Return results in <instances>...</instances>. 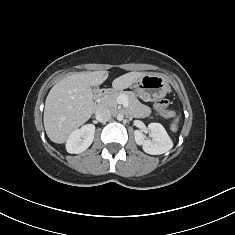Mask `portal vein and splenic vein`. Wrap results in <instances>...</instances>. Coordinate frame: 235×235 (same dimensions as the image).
Masks as SVG:
<instances>
[{
    "label": "portal vein and splenic vein",
    "mask_w": 235,
    "mask_h": 235,
    "mask_svg": "<svg viewBox=\"0 0 235 235\" xmlns=\"http://www.w3.org/2000/svg\"><path fill=\"white\" fill-rule=\"evenodd\" d=\"M118 102L120 104H122L124 107H128V105H129L128 100H127V98L125 96H120L118 98Z\"/></svg>",
    "instance_id": "obj_1"
}]
</instances>
